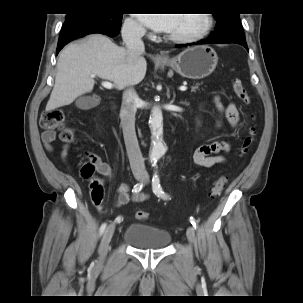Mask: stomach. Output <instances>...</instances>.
Segmentation results:
<instances>
[{"mask_svg": "<svg viewBox=\"0 0 303 303\" xmlns=\"http://www.w3.org/2000/svg\"><path fill=\"white\" fill-rule=\"evenodd\" d=\"M217 53L207 45L188 48L178 56L163 61L182 77L189 79H202L209 76L216 68Z\"/></svg>", "mask_w": 303, "mask_h": 303, "instance_id": "0dacf381", "label": "stomach"}]
</instances>
